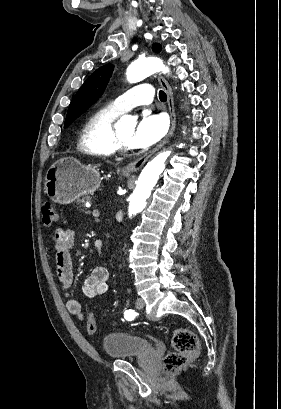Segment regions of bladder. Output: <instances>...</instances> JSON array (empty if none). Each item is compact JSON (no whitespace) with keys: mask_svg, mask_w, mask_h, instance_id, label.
Returning a JSON list of instances; mask_svg holds the SVG:
<instances>
[{"mask_svg":"<svg viewBox=\"0 0 281 409\" xmlns=\"http://www.w3.org/2000/svg\"><path fill=\"white\" fill-rule=\"evenodd\" d=\"M102 352L114 360H130L133 355H156L154 343L141 335L117 330L102 336Z\"/></svg>","mask_w":281,"mask_h":409,"instance_id":"31cf9c89","label":"bladder"}]
</instances>
